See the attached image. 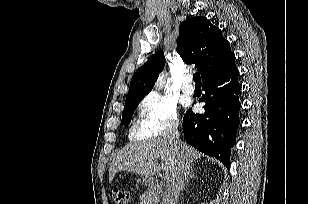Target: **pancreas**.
<instances>
[{
	"label": "pancreas",
	"mask_w": 309,
	"mask_h": 204,
	"mask_svg": "<svg viewBox=\"0 0 309 204\" xmlns=\"http://www.w3.org/2000/svg\"><path fill=\"white\" fill-rule=\"evenodd\" d=\"M151 197L153 200L154 199H157V193L154 192V190H149L148 192H146L143 196H142V199L144 197Z\"/></svg>",
	"instance_id": "obj_1"
}]
</instances>
